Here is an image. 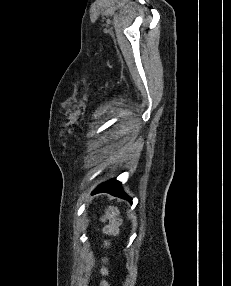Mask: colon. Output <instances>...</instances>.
<instances>
[{
  "instance_id": "obj_1",
  "label": "colon",
  "mask_w": 231,
  "mask_h": 286,
  "mask_svg": "<svg viewBox=\"0 0 231 286\" xmlns=\"http://www.w3.org/2000/svg\"><path fill=\"white\" fill-rule=\"evenodd\" d=\"M115 215H116V211L112 208H109L106 212L105 219L108 221V223L104 227V233L106 236H113L118 231V223L115 219ZM105 246H108V242H105ZM104 261H106V259H104ZM101 274L103 276H107L108 275L107 268L103 267L101 269ZM100 286H109V283L107 280L103 279L100 282Z\"/></svg>"
}]
</instances>
